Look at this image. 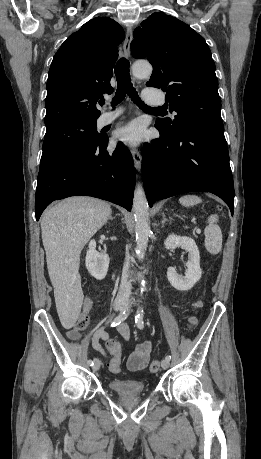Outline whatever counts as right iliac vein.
<instances>
[{"label": "right iliac vein", "mask_w": 261, "mask_h": 459, "mask_svg": "<svg viewBox=\"0 0 261 459\" xmlns=\"http://www.w3.org/2000/svg\"><path fill=\"white\" fill-rule=\"evenodd\" d=\"M124 308H125V305L123 303H116L114 305V309L117 311H122ZM100 366H101V361L99 359H96L92 367L93 371L99 370Z\"/></svg>", "instance_id": "right-iliac-vein-1"}]
</instances>
